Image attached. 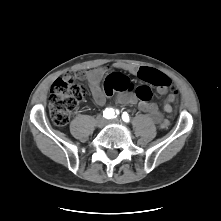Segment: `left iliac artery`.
<instances>
[{"mask_svg": "<svg viewBox=\"0 0 221 221\" xmlns=\"http://www.w3.org/2000/svg\"><path fill=\"white\" fill-rule=\"evenodd\" d=\"M122 120L124 121V122H129V115H128V113L127 112H123V114H122Z\"/></svg>", "mask_w": 221, "mask_h": 221, "instance_id": "obj_1", "label": "left iliac artery"}]
</instances>
